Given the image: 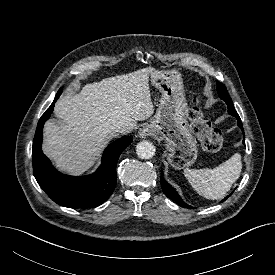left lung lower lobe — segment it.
<instances>
[{"label":"left lung lower lobe","instance_id":"1","mask_svg":"<svg viewBox=\"0 0 275 275\" xmlns=\"http://www.w3.org/2000/svg\"><path fill=\"white\" fill-rule=\"evenodd\" d=\"M223 100L226 102V104L228 106V112H229V114H231V115H233V116H235L237 118V120H238V126L240 127V129L243 131V134H244V130H243L241 119H240L239 115L237 114V112L234 109V106H233L231 98H224ZM243 137H245V135ZM243 144H245V140H243ZM160 183H161V187H162L163 192L165 193V195L168 198H170L171 200H173L176 203H178L181 207L190 208V206L188 204H186L180 198V196L175 191V189L165 181V179L163 178V173H161ZM230 195H228L227 197H225L222 201L226 200Z\"/></svg>","mask_w":275,"mask_h":275}]
</instances>
